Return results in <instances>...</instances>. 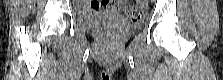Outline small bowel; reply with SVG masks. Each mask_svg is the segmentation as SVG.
Here are the masks:
<instances>
[{"label":"small bowel","mask_w":223,"mask_h":80,"mask_svg":"<svg viewBox=\"0 0 223 80\" xmlns=\"http://www.w3.org/2000/svg\"><path fill=\"white\" fill-rule=\"evenodd\" d=\"M122 5V1L94 2L90 7L82 5L81 9L86 13H117Z\"/></svg>","instance_id":"obj_1"}]
</instances>
